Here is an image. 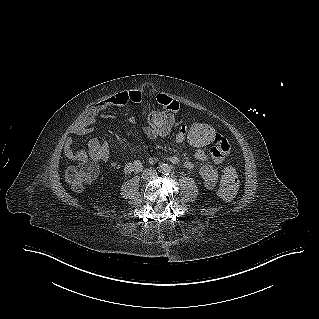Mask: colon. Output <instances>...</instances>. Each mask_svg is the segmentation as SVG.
<instances>
[{
  "label": "colon",
  "instance_id": "1",
  "mask_svg": "<svg viewBox=\"0 0 319 319\" xmlns=\"http://www.w3.org/2000/svg\"><path fill=\"white\" fill-rule=\"evenodd\" d=\"M177 127V117L173 113H166L165 110L152 112L143 123L144 133L153 140L171 136L177 130ZM187 128L188 133L185 134V138L191 146L200 151L215 150L210 138L213 135L221 136L217 127L209 122L198 120L191 123ZM225 142L229 148L228 142L226 140ZM75 156L79 160V164L67 170L65 179L72 190L79 192L95 181L99 167L98 159L94 155L80 151L75 153ZM239 186L240 180L237 174L233 169L228 168L219 185L218 194L222 199L229 200L236 194Z\"/></svg>",
  "mask_w": 319,
  "mask_h": 319
}]
</instances>
